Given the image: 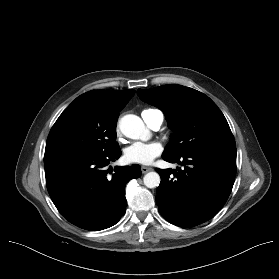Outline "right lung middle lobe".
<instances>
[{"instance_id":"right-lung-middle-lobe-1","label":"right lung middle lobe","mask_w":279,"mask_h":279,"mask_svg":"<svg viewBox=\"0 0 279 279\" xmlns=\"http://www.w3.org/2000/svg\"><path fill=\"white\" fill-rule=\"evenodd\" d=\"M117 119L98 113L77 97L53 125L45 156L67 152L103 155L120 149L116 142Z\"/></svg>"}]
</instances>
